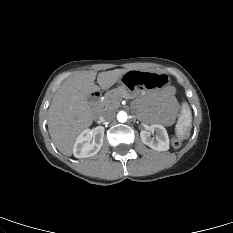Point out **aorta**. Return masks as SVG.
I'll return each mask as SVG.
<instances>
[{"label":"aorta","instance_id":"aorta-1","mask_svg":"<svg viewBox=\"0 0 233 233\" xmlns=\"http://www.w3.org/2000/svg\"><path fill=\"white\" fill-rule=\"evenodd\" d=\"M128 119V115L126 112L124 111H120L118 114H117V120L121 123H124L126 122Z\"/></svg>","mask_w":233,"mask_h":233}]
</instances>
